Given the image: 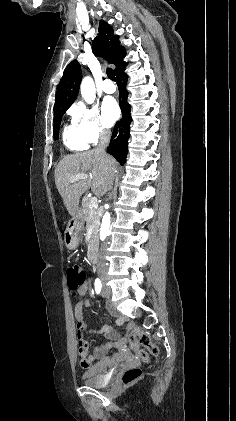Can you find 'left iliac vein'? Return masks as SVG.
<instances>
[{
    "mask_svg": "<svg viewBox=\"0 0 236 421\" xmlns=\"http://www.w3.org/2000/svg\"><path fill=\"white\" fill-rule=\"evenodd\" d=\"M107 289L104 287L102 291V295L104 296L106 294Z\"/></svg>",
    "mask_w": 236,
    "mask_h": 421,
    "instance_id": "left-iliac-vein-1",
    "label": "left iliac vein"
}]
</instances>
